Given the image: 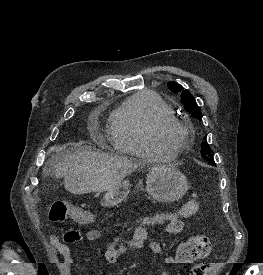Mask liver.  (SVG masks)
Listing matches in <instances>:
<instances>
[{
  "mask_svg": "<svg viewBox=\"0 0 263 275\" xmlns=\"http://www.w3.org/2000/svg\"><path fill=\"white\" fill-rule=\"evenodd\" d=\"M138 166L122 157L83 150L63 156L53 171L56 178H64L65 189L76 195L113 189ZM49 171L47 164L43 172Z\"/></svg>",
  "mask_w": 263,
  "mask_h": 275,
  "instance_id": "1",
  "label": "liver"
}]
</instances>
